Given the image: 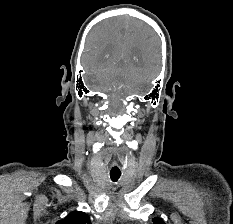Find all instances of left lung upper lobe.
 Listing matches in <instances>:
<instances>
[{"label":"left lung upper lobe","instance_id":"obj_1","mask_svg":"<svg viewBox=\"0 0 233 224\" xmlns=\"http://www.w3.org/2000/svg\"><path fill=\"white\" fill-rule=\"evenodd\" d=\"M152 221L154 224H165V222L161 218H158V217L153 218Z\"/></svg>","mask_w":233,"mask_h":224}]
</instances>
